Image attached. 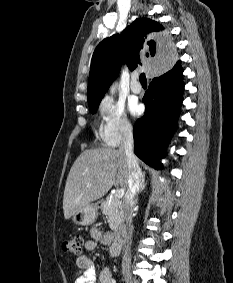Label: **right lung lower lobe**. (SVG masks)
Wrapping results in <instances>:
<instances>
[{
  "mask_svg": "<svg viewBox=\"0 0 233 283\" xmlns=\"http://www.w3.org/2000/svg\"><path fill=\"white\" fill-rule=\"evenodd\" d=\"M183 69L178 61L154 77L143 97L145 114L135 123L134 152L148 165L161 168L160 159L176 129L184 90Z\"/></svg>",
  "mask_w": 233,
  "mask_h": 283,
  "instance_id": "right-lung-lower-lobe-1",
  "label": "right lung lower lobe"
}]
</instances>
